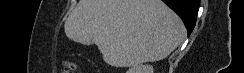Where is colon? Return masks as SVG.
Returning a JSON list of instances; mask_svg holds the SVG:
<instances>
[{
  "label": "colon",
  "instance_id": "1",
  "mask_svg": "<svg viewBox=\"0 0 244 73\" xmlns=\"http://www.w3.org/2000/svg\"><path fill=\"white\" fill-rule=\"evenodd\" d=\"M66 73H73L75 71L76 65L73 62L66 61L64 63Z\"/></svg>",
  "mask_w": 244,
  "mask_h": 73
}]
</instances>
